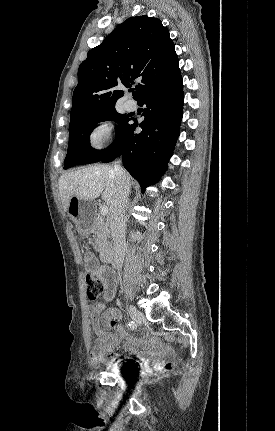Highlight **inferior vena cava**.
Segmentation results:
<instances>
[{
    "label": "inferior vena cava",
    "mask_w": 275,
    "mask_h": 431,
    "mask_svg": "<svg viewBox=\"0 0 275 431\" xmlns=\"http://www.w3.org/2000/svg\"><path fill=\"white\" fill-rule=\"evenodd\" d=\"M121 161L114 164L116 175L117 189L109 209V223L112 241L114 244V262L113 264L121 269L125 257V207L130 191V177L120 165Z\"/></svg>",
    "instance_id": "obj_1"
}]
</instances>
